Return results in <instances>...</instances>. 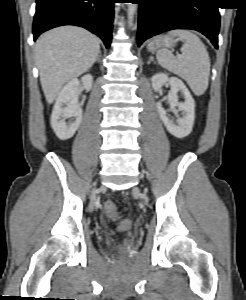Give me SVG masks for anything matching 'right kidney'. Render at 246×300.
Returning a JSON list of instances; mask_svg holds the SVG:
<instances>
[{
	"label": "right kidney",
	"mask_w": 246,
	"mask_h": 300,
	"mask_svg": "<svg viewBox=\"0 0 246 300\" xmlns=\"http://www.w3.org/2000/svg\"><path fill=\"white\" fill-rule=\"evenodd\" d=\"M90 91L93 85V77L84 75L81 80L74 78L70 80L59 93L53 107L50 123L55 134L60 140L73 137L82 121V109L78 104L80 86ZM63 105H66L63 107ZM65 119H74L66 122Z\"/></svg>",
	"instance_id": "right-kidney-1"
}]
</instances>
